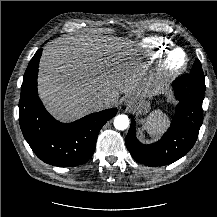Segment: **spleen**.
I'll return each mask as SVG.
<instances>
[{"label":"spleen","instance_id":"obj_1","mask_svg":"<svg viewBox=\"0 0 217 217\" xmlns=\"http://www.w3.org/2000/svg\"><path fill=\"white\" fill-rule=\"evenodd\" d=\"M168 122L167 115L157 110L147 117L145 129L150 135L158 136L166 130Z\"/></svg>","mask_w":217,"mask_h":217}]
</instances>
